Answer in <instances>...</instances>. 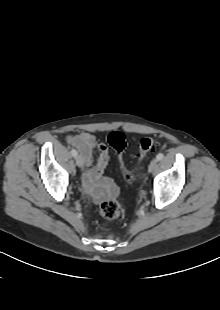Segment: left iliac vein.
<instances>
[{
  "mask_svg": "<svg viewBox=\"0 0 220 310\" xmlns=\"http://www.w3.org/2000/svg\"><path fill=\"white\" fill-rule=\"evenodd\" d=\"M157 163H158V160L157 159H153L150 162L149 166H148V171L149 172H153L156 169V167H157Z\"/></svg>",
  "mask_w": 220,
  "mask_h": 310,
  "instance_id": "4c4485c4",
  "label": "left iliac vein"
}]
</instances>
